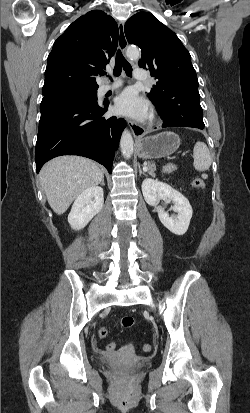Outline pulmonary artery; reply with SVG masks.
<instances>
[{
    "label": "pulmonary artery",
    "mask_w": 250,
    "mask_h": 413,
    "mask_svg": "<svg viewBox=\"0 0 250 413\" xmlns=\"http://www.w3.org/2000/svg\"><path fill=\"white\" fill-rule=\"evenodd\" d=\"M134 77L137 80L145 81L147 79V73L144 69L142 68H136L134 71ZM120 81H115L113 84H104L100 87V92L101 93H106L110 90L116 89L117 87L120 86Z\"/></svg>",
    "instance_id": "1"
}]
</instances>
